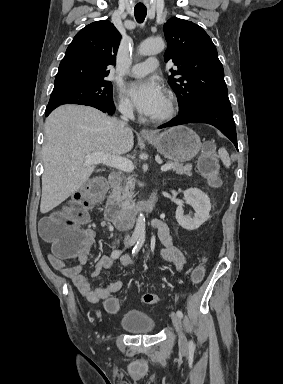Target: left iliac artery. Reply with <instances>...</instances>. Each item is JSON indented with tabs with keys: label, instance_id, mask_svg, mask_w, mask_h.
Instances as JSON below:
<instances>
[{
	"label": "left iliac artery",
	"instance_id": "1",
	"mask_svg": "<svg viewBox=\"0 0 283 384\" xmlns=\"http://www.w3.org/2000/svg\"><path fill=\"white\" fill-rule=\"evenodd\" d=\"M143 243H144V237H140L139 240L137 241V244L135 245V247H134L133 250H132V255H133V256L137 255V253H138L139 250L141 249ZM176 314H177L180 318L183 317V313H182L181 310H178V311L176 312ZM189 348H190L191 350H193V349L195 348V344L193 343V341H190V342H189Z\"/></svg>",
	"mask_w": 283,
	"mask_h": 384
}]
</instances>
